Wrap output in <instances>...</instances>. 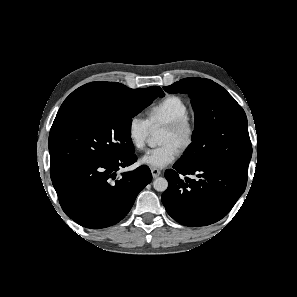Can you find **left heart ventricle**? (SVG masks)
Segmentation results:
<instances>
[{"instance_id":"1","label":"left heart ventricle","mask_w":297,"mask_h":297,"mask_svg":"<svg viewBox=\"0 0 297 297\" xmlns=\"http://www.w3.org/2000/svg\"><path fill=\"white\" fill-rule=\"evenodd\" d=\"M180 142H181V136L179 134H175L171 131L163 129L160 137V144L173 143L179 147Z\"/></svg>"}]
</instances>
